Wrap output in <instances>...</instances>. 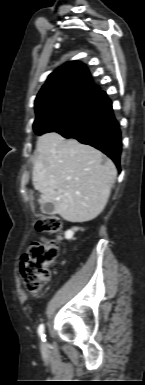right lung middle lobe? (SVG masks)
<instances>
[{
  "label": "right lung middle lobe",
  "mask_w": 145,
  "mask_h": 385,
  "mask_svg": "<svg viewBox=\"0 0 145 385\" xmlns=\"http://www.w3.org/2000/svg\"><path fill=\"white\" fill-rule=\"evenodd\" d=\"M102 93L75 90L57 95L36 107L33 129L37 135L63 128L100 97Z\"/></svg>",
  "instance_id": "right-lung-middle-lobe-1"
}]
</instances>
